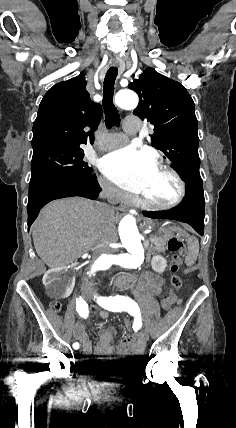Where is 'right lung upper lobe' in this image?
<instances>
[{"instance_id": "1", "label": "right lung upper lobe", "mask_w": 236, "mask_h": 428, "mask_svg": "<svg viewBox=\"0 0 236 428\" xmlns=\"http://www.w3.org/2000/svg\"><path fill=\"white\" fill-rule=\"evenodd\" d=\"M84 73L57 83L43 97L33 124V149L51 144L94 141L102 116L99 103L90 100ZM90 127V132L83 129Z\"/></svg>"}]
</instances>
